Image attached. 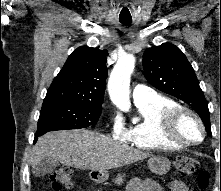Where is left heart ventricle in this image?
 <instances>
[{
  "label": "left heart ventricle",
  "mask_w": 221,
  "mask_h": 191,
  "mask_svg": "<svg viewBox=\"0 0 221 191\" xmlns=\"http://www.w3.org/2000/svg\"><path fill=\"white\" fill-rule=\"evenodd\" d=\"M180 131L182 135L189 140H198L200 137L197 125L188 118L182 120L180 124Z\"/></svg>",
  "instance_id": "1"
}]
</instances>
